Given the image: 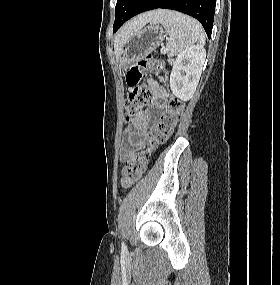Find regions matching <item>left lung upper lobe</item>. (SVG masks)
I'll return each mask as SVG.
<instances>
[{"label": "left lung upper lobe", "mask_w": 280, "mask_h": 285, "mask_svg": "<svg viewBox=\"0 0 280 285\" xmlns=\"http://www.w3.org/2000/svg\"><path fill=\"white\" fill-rule=\"evenodd\" d=\"M138 1L139 0H117L113 31L118 30L123 23L129 19V15Z\"/></svg>", "instance_id": "left-lung-upper-lobe-1"}]
</instances>
